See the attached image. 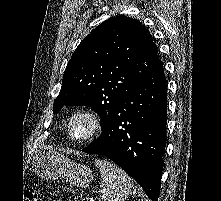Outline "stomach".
I'll return each mask as SVG.
<instances>
[{"label": "stomach", "instance_id": "0dacf381", "mask_svg": "<svg viewBox=\"0 0 221 201\" xmlns=\"http://www.w3.org/2000/svg\"><path fill=\"white\" fill-rule=\"evenodd\" d=\"M36 175L44 179L62 177L77 187L89 186L93 175L89 167L76 164L68 158L52 150L42 151L32 161Z\"/></svg>", "mask_w": 221, "mask_h": 201}]
</instances>
